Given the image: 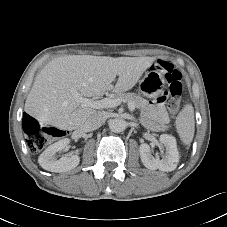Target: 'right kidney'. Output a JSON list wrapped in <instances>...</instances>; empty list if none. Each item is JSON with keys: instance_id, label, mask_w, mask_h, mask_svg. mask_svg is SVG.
I'll list each match as a JSON object with an SVG mask.
<instances>
[{"instance_id": "1", "label": "right kidney", "mask_w": 227, "mask_h": 227, "mask_svg": "<svg viewBox=\"0 0 227 227\" xmlns=\"http://www.w3.org/2000/svg\"><path fill=\"white\" fill-rule=\"evenodd\" d=\"M69 142L70 140L65 138L50 145L39 156L38 162L40 166L50 172H66L77 167L80 162V158L77 155L63 156L59 160L55 158L56 153L64 150Z\"/></svg>"}]
</instances>
